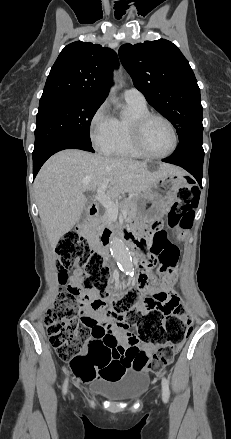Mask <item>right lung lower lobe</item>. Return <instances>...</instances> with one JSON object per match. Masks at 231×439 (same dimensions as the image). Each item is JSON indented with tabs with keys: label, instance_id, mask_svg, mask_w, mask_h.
<instances>
[{
	"label": "right lung lower lobe",
	"instance_id": "98d812e1",
	"mask_svg": "<svg viewBox=\"0 0 231 439\" xmlns=\"http://www.w3.org/2000/svg\"><path fill=\"white\" fill-rule=\"evenodd\" d=\"M64 149H81L94 153L92 144L84 143L76 138L68 136H60L49 141L39 150L33 151V176L37 175L39 169L44 162L54 153Z\"/></svg>",
	"mask_w": 231,
	"mask_h": 439
}]
</instances>
